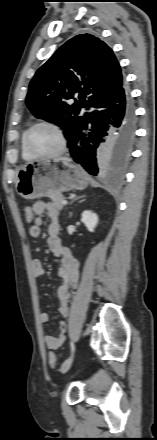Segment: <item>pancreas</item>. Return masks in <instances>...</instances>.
I'll return each mask as SVG.
<instances>
[{
  "label": "pancreas",
  "instance_id": "cf45deb5",
  "mask_svg": "<svg viewBox=\"0 0 157 440\" xmlns=\"http://www.w3.org/2000/svg\"><path fill=\"white\" fill-rule=\"evenodd\" d=\"M48 197L52 200V205L54 208H56L57 210H61L63 208L64 206L62 204V201L64 200L63 195L54 194V195H49Z\"/></svg>",
  "mask_w": 157,
  "mask_h": 440
}]
</instances>
